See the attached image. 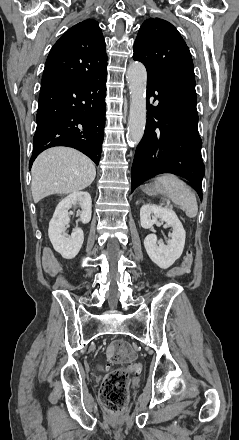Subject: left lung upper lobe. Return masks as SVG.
I'll use <instances>...</instances> for the list:
<instances>
[{
  "label": "left lung upper lobe",
  "mask_w": 239,
  "mask_h": 440,
  "mask_svg": "<svg viewBox=\"0 0 239 440\" xmlns=\"http://www.w3.org/2000/svg\"><path fill=\"white\" fill-rule=\"evenodd\" d=\"M133 59L147 75L176 74L194 77L192 57L177 29L160 18L144 21L134 43Z\"/></svg>",
  "instance_id": "1"
}]
</instances>
